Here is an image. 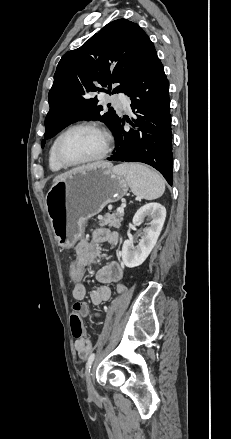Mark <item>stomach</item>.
<instances>
[{
	"mask_svg": "<svg viewBox=\"0 0 231 439\" xmlns=\"http://www.w3.org/2000/svg\"><path fill=\"white\" fill-rule=\"evenodd\" d=\"M128 188L125 177L108 162L54 182L46 195V209L58 245L73 247L84 232L85 222L107 204L123 198Z\"/></svg>",
	"mask_w": 231,
	"mask_h": 439,
	"instance_id": "1",
	"label": "stomach"
}]
</instances>
